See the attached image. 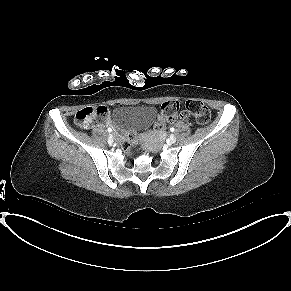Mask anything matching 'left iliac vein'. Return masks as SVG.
Returning a JSON list of instances; mask_svg holds the SVG:
<instances>
[{
  "instance_id": "obj_1",
  "label": "left iliac vein",
  "mask_w": 291,
  "mask_h": 291,
  "mask_svg": "<svg viewBox=\"0 0 291 291\" xmlns=\"http://www.w3.org/2000/svg\"><path fill=\"white\" fill-rule=\"evenodd\" d=\"M176 142V137L172 134L170 137H169V143L170 144H174Z\"/></svg>"
}]
</instances>
